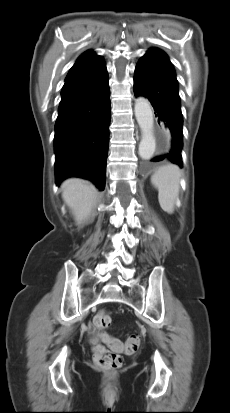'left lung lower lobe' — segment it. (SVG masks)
I'll return each instance as SVG.
<instances>
[{
	"mask_svg": "<svg viewBox=\"0 0 230 413\" xmlns=\"http://www.w3.org/2000/svg\"><path fill=\"white\" fill-rule=\"evenodd\" d=\"M134 94L142 95L151 102L158 122H164L170 129L172 140L170 152L154 158L182 164L183 117L178 89V81L167 54L158 48H150L136 65L134 74Z\"/></svg>",
	"mask_w": 230,
	"mask_h": 413,
	"instance_id": "1",
	"label": "left lung lower lobe"
}]
</instances>
